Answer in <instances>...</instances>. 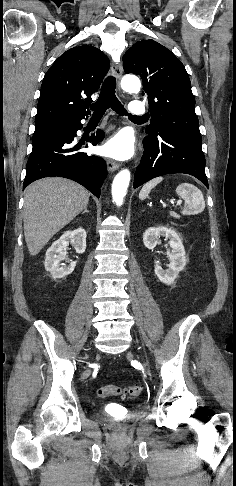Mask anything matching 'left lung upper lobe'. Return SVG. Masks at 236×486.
<instances>
[{"mask_svg": "<svg viewBox=\"0 0 236 486\" xmlns=\"http://www.w3.org/2000/svg\"><path fill=\"white\" fill-rule=\"evenodd\" d=\"M123 66L126 73L141 76L148 95L151 119L146 138L166 131L201 136L189 76L170 50L154 40L136 42L125 53Z\"/></svg>", "mask_w": 236, "mask_h": 486, "instance_id": "obj_1", "label": "left lung upper lobe"}]
</instances>
